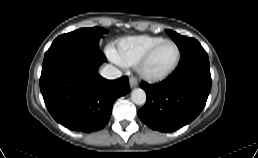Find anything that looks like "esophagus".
Wrapping results in <instances>:
<instances>
[{"label": "esophagus", "mask_w": 258, "mask_h": 158, "mask_svg": "<svg viewBox=\"0 0 258 158\" xmlns=\"http://www.w3.org/2000/svg\"><path fill=\"white\" fill-rule=\"evenodd\" d=\"M129 85L131 88H134L138 85V79L136 77H131L129 79Z\"/></svg>", "instance_id": "obj_1"}]
</instances>
